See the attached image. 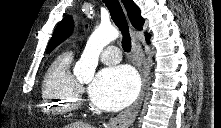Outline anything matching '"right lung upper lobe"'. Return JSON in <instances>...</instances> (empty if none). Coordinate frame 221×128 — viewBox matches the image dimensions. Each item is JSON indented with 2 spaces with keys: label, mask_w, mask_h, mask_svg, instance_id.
Instances as JSON below:
<instances>
[{
  "label": "right lung upper lobe",
  "mask_w": 221,
  "mask_h": 128,
  "mask_svg": "<svg viewBox=\"0 0 221 128\" xmlns=\"http://www.w3.org/2000/svg\"><path fill=\"white\" fill-rule=\"evenodd\" d=\"M124 6L127 10L129 19L132 25L138 29L142 30V25L144 19L141 17L140 9L132 0H122ZM73 29L72 18L70 16L65 17L60 24L55 29V32L51 38V41L48 45L47 52H51L58 44L65 40L71 33ZM150 39V35L146 36V40Z\"/></svg>",
  "instance_id": "cb5924a9"
}]
</instances>
